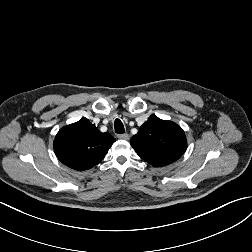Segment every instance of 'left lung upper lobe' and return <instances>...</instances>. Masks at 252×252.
Segmentation results:
<instances>
[{"label": "left lung upper lobe", "mask_w": 252, "mask_h": 252, "mask_svg": "<svg viewBox=\"0 0 252 252\" xmlns=\"http://www.w3.org/2000/svg\"><path fill=\"white\" fill-rule=\"evenodd\" d=\"M130 144L142 159L157 167L176 161L187 148L181 127L155 115L150 116L140 127Z\"/></svg>", "instance_id": "left-lung-upper-lobe-1"}]
</instances>
